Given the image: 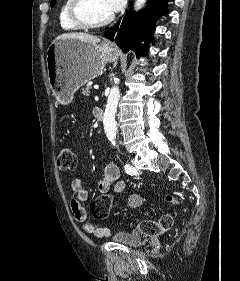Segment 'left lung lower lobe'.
I'll return each instance as SVG.
<instances>
[{
	"instance_id": "left-lung-lower-lobe-1",
	"label": "left lung lower lobe",
	"mask_w": 240,
	"mask_h": 281,
	"mask_svg": "<svg viewBox=\"0 0 240 281\" xmlns=\"http://www.w3.org/2000/svg\"><path fill=\"white\" fill-rule=\"evenodd\" d=\"M170 0H150L144 12L127 13L122 22L117 23L105 34V37L115 43L124 51L134 50L137 57L146 56L147 48L140 44L153 37L157 19L168 13L167 3Z\"/></svg>"
}]
</instances>
